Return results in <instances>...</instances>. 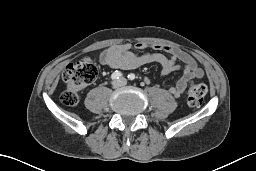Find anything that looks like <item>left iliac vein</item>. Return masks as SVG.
I'll return each instance as SVG.
<instances>
[{
	"label": "left iliac vein",
	"instance_id": "obj_1",
	"mask_svg": "<svg viewBox=\"0 0 256 171\" xmlns=\"http://www.w3.org/2000/svg\"><path fill=\"white\" fill-rule=\"evenodd\" d=\"M120 82H121L122 85H125L127 83V80L125 78H121Z\"/></svg>",
	"mask_w": 256,
	"mask_h": 171
}]
</instances>
